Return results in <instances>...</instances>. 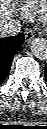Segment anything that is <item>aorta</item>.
<instances>
[{
	"label": "aorta",
	"instance_id": "1",
	"mask_svg": "<svg viewBox=\"0 0 47 129\" xmlns=\"http://www.w3.org/2000/svg\"><path fill=\"white\" fill-rule=\"evenodd\" d=\"M31 53L39 60L47 59V40L45 38H36L31 42Z\"/></svg>",
	"mask_w": 47,
	"mask_h": 129
}]
</instances>
